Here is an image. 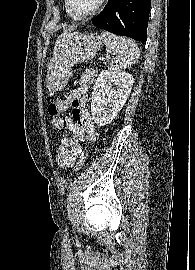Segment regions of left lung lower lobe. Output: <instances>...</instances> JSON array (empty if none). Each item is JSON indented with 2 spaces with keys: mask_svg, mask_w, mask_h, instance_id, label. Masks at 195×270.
Instances as JSON below:
<instances>
[{
  "mask_svg": "<svg viewBox=\"0 0 195 270\" xmlns=\"http://www.w3.org/2000/svg\"><path fill=\"white\" fill-rule=\"evenodd\" d=\"M150 1L108 0L92 23L97 28L144 42L147 39Z\"/></svg>",
  "mask_w": 195,
  "mask_h": 270,
  "instance_id": "obj_1",
  "label": "left lung lower lobe"
}]
</instances>
